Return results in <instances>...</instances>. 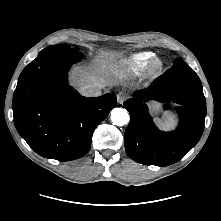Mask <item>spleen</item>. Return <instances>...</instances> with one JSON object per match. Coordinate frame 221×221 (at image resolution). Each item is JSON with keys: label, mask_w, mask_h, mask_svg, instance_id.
<instances>
[{"label": "spleen", "mask_w": 221, "mask_h": 221, "mask_svg": "<svg viewBox=\"0 0 221 221\" xmlns=\"http://www.w3.org/2000/svg\"><path fill=\"white\" fill-rule=\"evenodd\" d=\"M157 124L166 129H171L175 126V117L171 111H166L161 119L157 120Z\"/></svg>", "instance_id": "1"}]
</instances>
